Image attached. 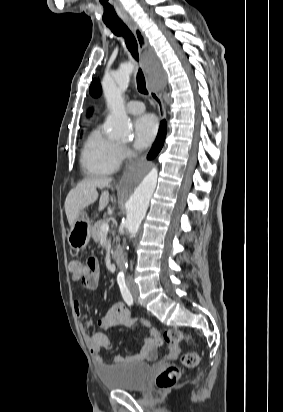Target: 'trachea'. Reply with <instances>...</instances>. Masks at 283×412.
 I'll return each mask as SVG.
<instances>
[{"label":"trachea","mask_w":283,"mask_h":412,"mask_svg":"<svg viewBox=\"0 0 283 412\" xmlns=\"http://www.w3.org/2000/svg\"><path fill=\"white\" fill-rule=\"evenodd\" d=\"M106 25L115 35L122 36L125 39V43L128 50L130 51L134 59L138 61L137 41L132 32L128 29V27L123 22L110 23ZM137 88L138 91L142 94L148 93L146 89L145 77L140 68L137 73Z\"/></svg>","instance_id":"3493384b"}]
</instances>
